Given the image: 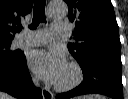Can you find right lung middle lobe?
Here are the masks:
<instances>
[{
  "mask_svg": "<svg viewBox=\"0 0 128 99\" xmlns=\"http://www.w3.org/2000/svg\"><path fill=\"white\" fill-rule=\"evenodd\" d=\"M10 45L11 42L0 43V61L11 62L18 58L20 53L10 51Z\"/></svg>",
  "mask_w": 128,
  "mask_h": 99,
  "instance_id": "dd1d6c3e",
  "label": "right lung middle lobe"
}]
</instances>
